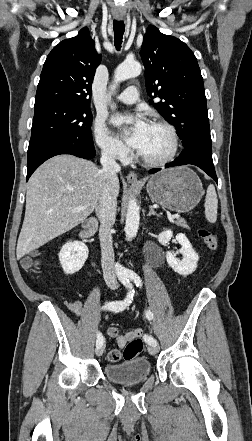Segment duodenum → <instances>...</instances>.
<instances>
[{
    "mask_svg": "<svg viewBox=\"0 0 252 441\" xmlns=\"http://www.w3.org/2000/svg\"><path fill=\"white\" fill-rule=\"evenodd\" d=\"M97 228H98L97 221L91 220L85 224V226L80 231L79 236L81 238L90 237L94 232H96Z\"/></svg>",
    "mask_w": 252,
    "mask_h": 441,
    "instance_id": "1",
    "label": "duodenum"
}]
</instances>
